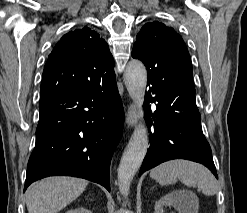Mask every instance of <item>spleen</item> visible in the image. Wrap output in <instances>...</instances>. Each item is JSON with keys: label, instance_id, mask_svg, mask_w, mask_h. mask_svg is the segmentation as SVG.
I'll return each mask as SVG.
<instances>
[{"label": "spleen", "instance_id": "1", "mask_svg": "<svg viewBox=\"0 0 247 213\" xmlns=\"http://www.w3.org/2000/svg\"><path fill=\"white\" fill-rule=\"evenodd\" d=\"M150 177L161 185L175 184L180 180L186 186H197L207 196L217 193V183L213 174L201 164L187 160L162 163L151 170Z\"/></svg>", "mask_w": 247, "mask_h": 213}]
</instances>
